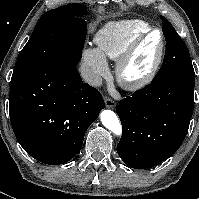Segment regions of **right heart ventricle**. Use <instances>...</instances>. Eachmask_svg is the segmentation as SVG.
<instances>
[{"mask_svg":"<svg viewBox=\"0 0 199 199\" xmlns=\"http://www.w3.org/2000/svg\"><path fill=\"white\" fill-rule=\"evenodd\" d=\"M150 28L148 22L139 19L110 22L97 32L94 41L103 57L118 60L128 46Z\"/></svg>","mask_w":199,"mask_h":199,"instance_id":"right-heart-ventricle-1","label":"right heart ventricle"}]
</instances>
